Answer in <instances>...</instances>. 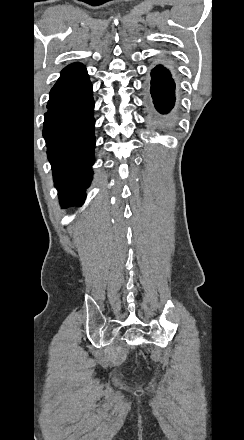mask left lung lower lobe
Returning a JSON list of instances; mask_svg holds the SVG:
<instances>
[{
	"label": "left lung lower lobe",
	"instance_id": "left-lung-lower-lobe-1",
	"mask_svg": "<svg viewBox=\"0 0 244 440\" xmlns=\"http://www.w3.org/2000/svg\"><path fill=\"white\" fill-rule=\"evenodd\" d=\"M150 93L157 112L153 109L151 101L146 95L145 107L148 121L162 133H169L176 126L175 115L171 110L175 104V83L168 69L163 65L156 66L151 72Z\"/></svg>",
	"mask_w": 244,
	"mask_h": 440
}]
</instances>
